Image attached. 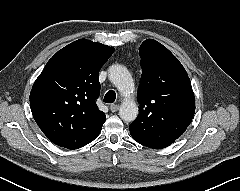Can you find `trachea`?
I'll use <instances>...</instances> for the list:
<instances>
[{
	"label": "trachea",
	"instance_id": "obj_1",
	"mask_svg": "<svg viewBox=\"0 0 240 191\" xmlns=\"http://www.w3.org/2000/svg\"><path fill=\"white\" fill-rule=\"evenodd\" d=\"M116 99V93L112 90L108 91L104 96L105 103H113Z\"/></svg>",
	"mask_w": 240,
	"mask_h": 191
}]
</instances>
